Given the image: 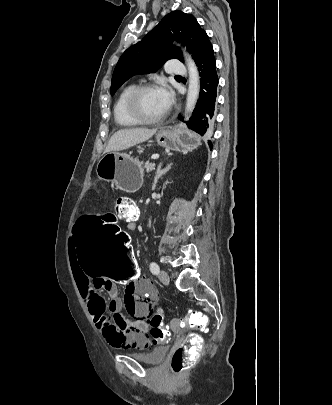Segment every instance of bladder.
<instances>
[{
  "label": "bladder",
  "mask_w": 332,
  "mask_h": 405,
  "mask_svg": "<svg viewBox=\"0 0 332 405\" xmlns=\"http://www.w3.org/2000/svg\"><path fill=\"white\" fill-rule=\"evenodd\" d=\"M167 346H158L151 351L144 353H132V355L139 361L148 364V365H157L161 363L167 354Z\"/></svg>",
  "instance_id": "obj_1"
}]
</instances>
